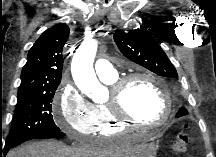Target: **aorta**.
Masks as SVG:
<instances>
[{
  "label": "aorta",
  "instance_id": "aorta-1",
  "mask_svg": "<svg viewBox=\"0 0 216 157\" xmlns=\"http://www.w3.org/2000/svg\"><path fill=\"white\" fill-rule=\"evenodd\" d=\"M97 51V42L94 39L85 40L75 52L71 71L75 84L94 101H99L105 96V88L98 81L93 62Z\"/></svg>",
  "mask_w": 216,
  "mask_h": 157
}]
</instances>
